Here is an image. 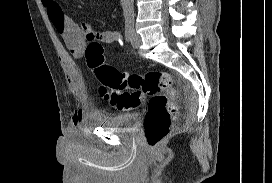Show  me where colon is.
Listing matches in <instances>:
<instances>
[{"label":"colon","mask_w":272,"mask_h":183,"mask_svg":"<svg viewBox=\"0 0 272 183\" xmlns=\"http://www.w3.org/2000/svg\"><path fill=\"white\" fill-rule=\"evenodd\" d=\"M87 66L99 83L100 96L121 111L140 106L149 96L144 132L149 146H157L170 132L177 115V90L169 73L149 71L143 75L120 72L104 62L103 46L90 42L85 50Z\"/></svg>","instance_id":"colon-1"}]
</instances>
